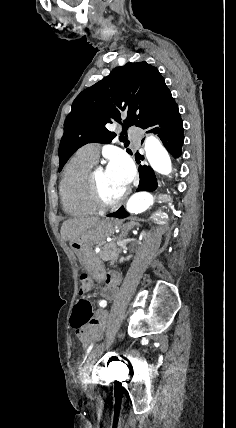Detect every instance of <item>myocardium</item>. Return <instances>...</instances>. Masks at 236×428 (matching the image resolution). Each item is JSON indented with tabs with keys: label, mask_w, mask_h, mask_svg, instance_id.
<instances>
[{
	"label": "myocardium",
	"mask_w": 236,
	"mask_h": 428,
	"mask_svg": "<svg viewBox=\"0 0 236 428\" xmlns=\"http://www.w3.org/2000/svg\"><path fill=\"white\" fill-rule=\"evenodd\" d=\"M108 168H102L91 172L89 177V192L92 201L96 206L102 209H109L121 206L129 197L131 192L130 186L127 187L126 191L116 200L107 199L100 187V176Z\"/></svg>",
	"instance_id": "obj_1"
}]
</instances>
